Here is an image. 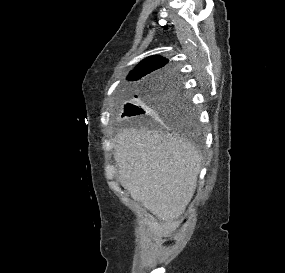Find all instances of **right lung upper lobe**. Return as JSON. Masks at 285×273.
I'll return each instance as SVG.
<instances>
[{"instance_id": "right-lung-upper-lobe-1", "label": "right lung upper lobe", "mask_w": 285, "mask_h": 273, "mask_svg": "<svg viewBox=\"0 0 285 273\" xmlns=\"http://www.w3.org/2000/svg\"><path fill=\"white\" fill-rule=\"evenodd\" d=\"M167 63L168 60L159 56L148 57L130 72L128 80L139 81L141 84L144 82L147 83L154 77L166 75L172 72V70L166 66Z\"/></svg>"}]
</instances>
